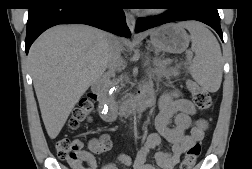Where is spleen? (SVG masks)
<instances>
[{"instance_id":"3e777b00","label":"spleen","mask_w":252,"mask_h":169,"mask_svg":"<svg viewBox=\"0 0 252 169\" xmlns=\"http://www.w3.org/2000/svg\"><path fill=\"white\" fill-rule=\"evenodd\" d=\"M190 32L191 50L195 56L189 63L192 78L205 90L216 92L222 82L223 61L216 37L198 22L180 23Z\"/></svg>"}]
</instances>
